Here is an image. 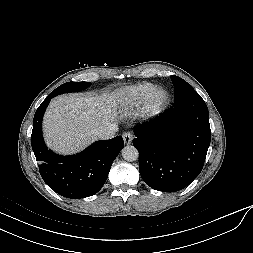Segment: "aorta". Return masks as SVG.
Wrapping results in <instances>:
<instances>
[{"label":"aorta","mask_w":253,"mask_h":253,"mask_svg":"<svg viewBox=\"0 0 253 253\" xmlns=\"http://www.w3.org/2000/svg\"><path fill=\"white\" fill-rule=\"evenodd\" d=\"M122 157L128 162L136 161L139 157V152L136 147L130 145L122 149Z\"/></svg>","instance_id":"obj_1"}]
</instances>
